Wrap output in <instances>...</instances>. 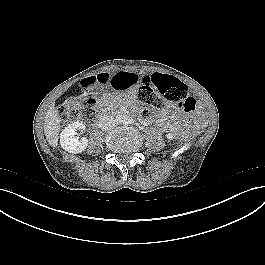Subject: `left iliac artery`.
<instances>
[{
	"label": "left iliac artery",
	"instance_id": "obj_1",
	"mask_svg": "<svg viewBox=\"0 0 265 265\" xmlns=\"http://www.w3.org/2000/svg\"><path fill=\"white\" fill-rule=\"evenodd\" d=\"M123 123H125V124H133L134 123V120H133L132 117L127 116V117H125L123 119Z\"/></svg>",
	"mask_w": 265,
	"mask_h": 265
}]
</instances>
